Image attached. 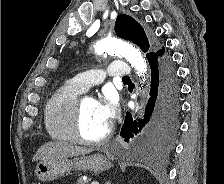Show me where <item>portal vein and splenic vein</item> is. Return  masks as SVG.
Masks as SVG:
<instances>
[{
	"label": "portal vein and splenic vein",
	"instance_id": "18ae733b",
	"mask_svg": "<svg viewBox=\"0 0 224 184\" xmlns=\"http://www.w3.org/2000/svg\"><path fill=\"white\" fill-rule=\"evenodd\" d=\"M91 184H99V182L93 181V182H91Z\"/></svg>",
	"mask_w": 224,
	"mask_h": 184
}]
</instances>
